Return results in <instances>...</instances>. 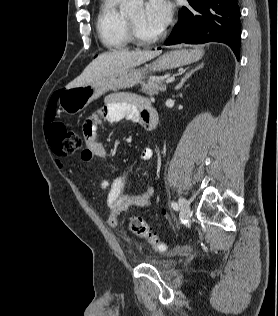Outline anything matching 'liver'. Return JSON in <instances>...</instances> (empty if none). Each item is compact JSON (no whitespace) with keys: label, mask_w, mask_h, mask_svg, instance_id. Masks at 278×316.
I'll return each instance as SVG.
<instances>
[{"label":"liver","mask_w":278,"mask_h":316,"mask_svg":"<svg viewBox=\"0 0 278 316\" xmlns=\"http://www.w3.org/2000/svg\"><path fill=\"white\" fill-rule=\"evenodd\" d=\"M161 51H124L105 52L94 59L66 88L87 85L93 81L136 67L158 56Z\"/></svg>","instance_id":"1"}]
</instances>
